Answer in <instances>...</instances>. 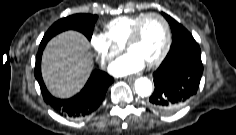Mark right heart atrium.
Segmentation results:
<instances>
[{
	"label": "right heart atrium",
	"instance_id": "d8ad5b80",
	"mask_svg": "<svg viewBox=\"0 0 236 135\" xmlns=\"http://www.w3.org/2000/svg\"><path fill=\"white\" fill-rule=\"evenodd\" d=\"M90 45L102 66L110 62L121 50V48L114 45L105 34L97 32H94L90 36Z\"/></svg>",
	"mask_w": 236,
	"mask_h": 135
}]
</instances>
